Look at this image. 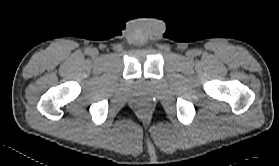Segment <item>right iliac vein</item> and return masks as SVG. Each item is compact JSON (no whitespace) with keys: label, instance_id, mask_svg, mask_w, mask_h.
<instances>
[{"label":"right iliac vein","instance_id":"obj_1","mask_svg":"<svg viewBox=\"0 0 279 166\" xmlns=\"http://www.w3.org/2000/svg\"><path fill=\"white\" fill-rule=\"evenodd\" d=\"M91 53H92L94 56H97V55H98V50L93 49Z\"/></svg>","mask_w":279,"mask_h":166}]
</instances>
